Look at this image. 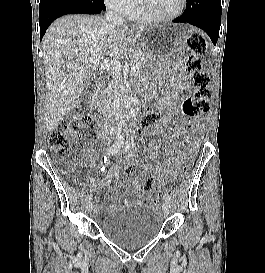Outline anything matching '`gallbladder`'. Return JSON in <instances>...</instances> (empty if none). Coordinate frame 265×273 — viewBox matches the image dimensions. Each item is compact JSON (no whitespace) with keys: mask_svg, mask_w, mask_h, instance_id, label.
Listing matches in <instances>:
<instances>
[{"mask_svg":"<svg viewBox=\"0 0 265 273\" xmlns=\"http://www.w3.org/2000/svg\"><path fill=\"white\" fill-rule=\"evenodd\" d=\"M95 85V81H91L86 85L77 106L67 114V118H71L72 116L85 111L88 108Z\"/></svg>","mask_w":265,"mask_h":273,"instance_id":"1","label":"gallbladder"}]
</instances>
